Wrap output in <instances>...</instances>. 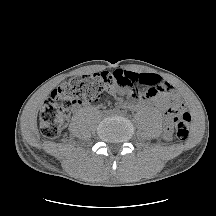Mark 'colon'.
I'll use <instances>...</instances> for the list:
<instances>
[{"label": "colon", "instance_id": "5ec220e1", "mask_svg": "<svg viewBox=\"0 0 216 216\" xmlns=\"http://www.w3.org/2000/svg\"><path fill=\"white\" fill-rule=\"evenodd\" d=\"M131 76L126 71L101 72L64 82L51 93L41 108L42 135L49 139L57 138L67 116L75 106L99 101L115 85L127 86L132 82ZM167 115L175 127L177 138L186 140L189 136L190 114L179 107L170 109Z\"/></svg>", "mask_w": 216, "mask_h": 216}]
</instances>
